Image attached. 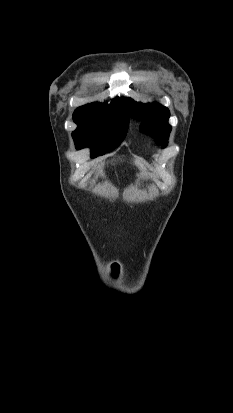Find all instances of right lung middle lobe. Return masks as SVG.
I'll list each match as a JSON object with an SVG mask.
<instances>
[{
	"label": "right lung middle lobe",
	"instance_id": "right-lung-middle-lobe-1",
	"mask_svg": "<svg viewBox=\"0 0 233 413\" xmlns=\"http://www.w3.org/2000/svg\"><path fill=\"white\" fill-rule=\"evenodd\" d=\"M72 133L77 149L91 147L95 158L117 148L128 130V109L122 104L103 105L91 103L75 110Z\"/></svg>",
	"mask_w": 233,
	"mask_h": 413
}]
</instances>
